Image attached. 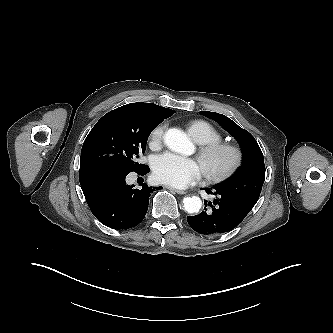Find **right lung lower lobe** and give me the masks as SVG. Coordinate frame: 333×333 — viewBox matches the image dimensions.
Returning a JSON list of instances; mask_svg holds the SVG:
<instances>
[{"label":"right lung lower lobe","mask_w":333,"mask_h":333,"mask_svg":"<svg viewBox=\"0 0 333 333\" xmlns=\"http://www.w3.org/2000/svg\"><path fill=\"white\" fill-rule=\"evenodd\" d=\"M150 171L144 166L137 171L145 175ZM129 172L96 169L79 173L82 191L94 216L104 225L114 229H129L138 225L148 210L149 195L154 189L141 184L133 189L125 182Z\"/></svg>","instance_id":"1"}]
</instances>
